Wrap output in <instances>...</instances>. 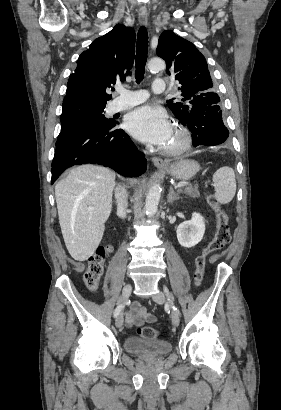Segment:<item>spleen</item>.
<instances>
[{
  "instance_id": "1",
  "label": "spleen",
  "mask_w": 281,
  "mask_h": 410,
  "mask_svg": "<svg viewBox=\"0 0 281 410\" xmlns=\"http://www.w3.org/2000/svg\"><path fill=\"white\" fill-rule=\"evenodd\" d=\"M215 198L221 204L232 201L236 193V179L234 170L230 167H222L213 175Z\"/></svg>"
}]
</instances>
